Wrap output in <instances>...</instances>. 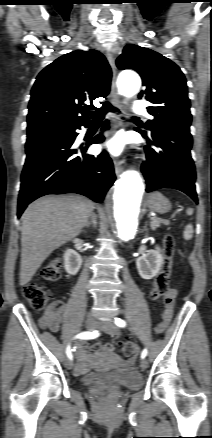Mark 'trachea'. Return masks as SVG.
I'll return each instance as SVG.
<instances>
[{
  "label": "trachea",
  "instance_id": "3493384b",
  "mask_svg": "<svg viewBox=\"0 0 212 438\" xmlns=\"http://www.w3.org/2000/svg\"><path fill=\"white\" fill-rule=\"evenodd\" d=\"M108 111L119 112V110L114 107L109 101H106L100 109L93 111L90 114L93 121H102Z\"/></svg>",
  "mask_w": 212,
  "mask_h": 438
}]
</instances>
